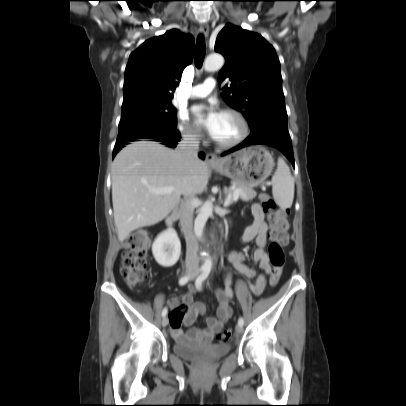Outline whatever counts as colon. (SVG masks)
<instances>
[{
  "label": "colon",
  "mask_w": 406,
  "mask_h": 406,
  "mask_svg": "<svg viewBox=\"0 0 406 406\" xmlns=\"http://www.w3.org/2000/svg\"><path fill=\"white\" fill-rule=\"evenodd\" d=\"M260 201L272 227L271 242L268 249L269 261L272 266L269 283L270 286L274 287L280 280L284 266L283 247L288 242L289 222L286 210L278 208L270 195H260ZM148 247L149 238L144 231H135L128 236L120 265V273L127 286H138L147 279L148 268L145 254ZM184 314H186L184 311L174 310L170 316L171 324L174 327L179 326ZM230 336L231 330L224 329L216 334V340L219 343H225L230 339Z\"/></svg>",
  "instance_id": "colon-1"
}]
</instances>
